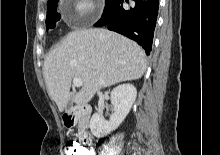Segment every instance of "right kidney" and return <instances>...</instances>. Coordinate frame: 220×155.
<instances>
[{
  "instance_id": "right-kidney-1",
  "label": "right kidney",
  "mask_w": 220,
  "mask_h": 155,
  "mask_svg": "<svg viewBox=\"0 0 220 155\" xmlns=\"http://www.w3.org/2000/svg\"><path fill=\"white\" fill-rule=\"evenodd\" d=\"M137 96V90L132 84H123L111 92V104L114 114L105 121L101 114H93L90 120V130L96 137H103L117 129L130 112Z\"/></svg>"
}]
</instances>
